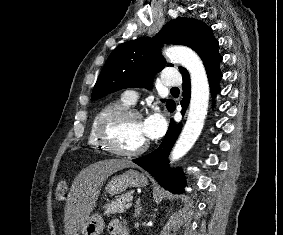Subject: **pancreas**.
Returning <instances> with one entry per match:
<instances>
[{
  "label": "pancreas",
  "mask_w": 283,
  "mask_h": 235,
  "mask_svg": "<svg viewBox=\"0 0 283 235\" xmlns=\"http://www.w3.org/2000/svg\"><path fill=\"white\" fill-rule=\"evenodd\" d=\"M131 200H132V195L129 192L118 196L116 199L106 204L104 214L106 216H110L111 214L124 212L126 205Z\"/></svg>",
  "instance_id": "pancreas-1"
}]
</instances>
